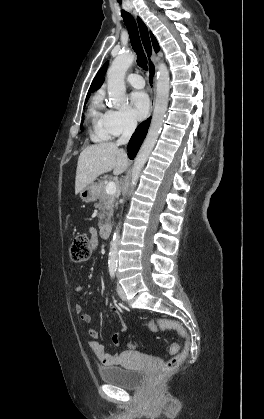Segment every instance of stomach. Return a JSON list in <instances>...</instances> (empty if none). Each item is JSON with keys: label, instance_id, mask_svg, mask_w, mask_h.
<instances>
[{"label": "stomach", "instance_id": "obj_1", "mask_svg": "<svg viewBox=\"0 0 264 419\" xmlns=\"http://www.w3.org/2000/svg\"><path fill=\"white\" fill-rule=\"evenodd\" d=\"M98 195L97 186L95 183L87 185L80 191V198L85 203H90L96 200Z\"/></svg>", "mask_w": 264, "mask_h": 419}]
</instances>
